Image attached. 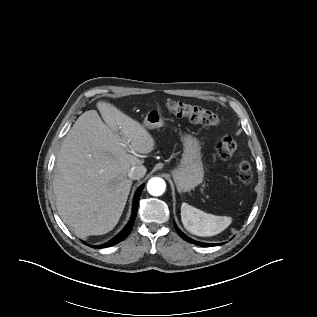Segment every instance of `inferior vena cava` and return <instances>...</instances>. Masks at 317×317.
Wrapping results in <instances>:
<instances>
[{"instance_id":"inferior-vena-cava-1","label":"inferior vena cava","mask_w":317,"mask_h":317,"mask_svg":"<svg viewBox=\"0 0 317 317\" xmlns=\"http://www.w3.org/2000/svg\"><path fill=\"white\" fill-rule=\"evenodd\" d=\"M146 168L143 165H136L131 167L128 172V177L132 180H138L145 176Z\"/></svg>"}]
</instances>
